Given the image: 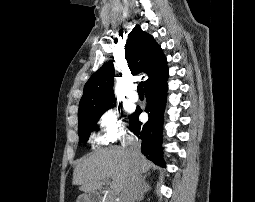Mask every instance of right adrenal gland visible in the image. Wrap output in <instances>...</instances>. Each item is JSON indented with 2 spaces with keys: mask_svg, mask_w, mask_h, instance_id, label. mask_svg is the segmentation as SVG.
I'll return each instance as SVG.
<instances>
[{
  "mask_svg": "<svg viewBox=\"0 0 255 202\" xmlns=\"http://www.w3.org/2000/svg\"><path fill=\"white\" fill-rule=\"evenodd\" d=\"M145 179H146V177L143 178V185H144V192L146 193V192H148V191L151 189V187H150V185L145 181Z\"/></svg>",
  "mask_w": 255,
  "mask_h": 202,
  "instance_id": "right-adrenal-gland-1",
  "label": "right adrenal gland"
}]
</instances>
